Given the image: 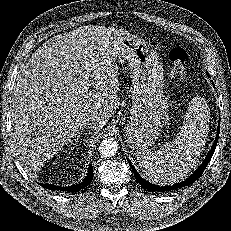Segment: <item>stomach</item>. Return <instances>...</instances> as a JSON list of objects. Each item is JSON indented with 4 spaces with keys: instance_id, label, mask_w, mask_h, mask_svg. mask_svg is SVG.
Instances as JSON below:
<instances>
[{
    "instance_id": "stomach-1",
    "label": "stomach",
    "mask_w": 231,
    "mask_h": 231,
    "mask_svg": "<svg viewBox=\"0 0 231 231\" xmlns=\"http://www.w3.org/2000/svg\"><path fill=\"white\" fill-rule=\"evenodd\" d=\"M116 60L117 64L127 61L131 72L132 108L124 131L129 148L138 153L154 144L167 124L163 67L156 51L132 35L119 45Z\"/></svg>"
}]
</instances>
